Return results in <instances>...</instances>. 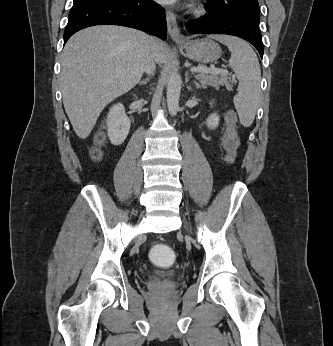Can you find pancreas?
<instances>
[{
    "instance_id": "cf45deb5",
    "label": "pancreas",
    "mask_w": 333,
    "mask_h": 346,
    "mask_svg": "<svg viewBox=\"0 0 333 346\" xmlns=\"http://www.w3.org/2000/svg\"><path fill=\"white\" fill-rule=\"evenodd\" d=\"M194 77L199 81V83H196V87L198 88H206L208 86H211L215 89H219V86L224 85L227 87V89L232 88L231 77L224 73H197Z\"/></svg>"
}]
</instances>
